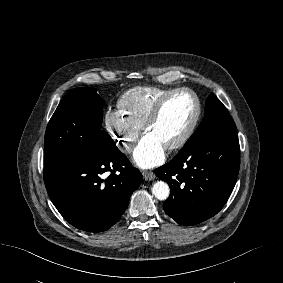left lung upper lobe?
Returning a JSON list of instances; mask_svg holds the SVG:
<instances>
[{
    "instance_id": "1",
    "label": "left lung upper lobe",
    "mask_w": 283,
    "mask_h": 283,
    "mask_svg": "<svg viewBox=\"0 0 283 283\" xmlns=\"http://www.w3.org/2000/svg\"><path fill=\"white\" fill-rule=\"evenodd\" d=\"M236 132V126L228 110L221 101L211 94L205 106V116L194 134L185 143L189 145L198 140Z\"/></svg>"
}]
</instances>
